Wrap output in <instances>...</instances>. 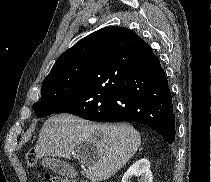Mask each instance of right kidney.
<instances>
[{"label":"right kidney","instance_id":"obj_1","mask_svg":"<svg viewBox=\"0 0 211 182\" xmlns=\"http://www.w3.org/2000/svg\"><path fill=\"white\" fill-rule=\"evenodd\" d=\"M134 175L141 176V182H152V173L150 169V162L146 158L136 161L124 174L122 182H130Z\"/></svg>","mask_w":211,"mask_h":182}]
</instances>
